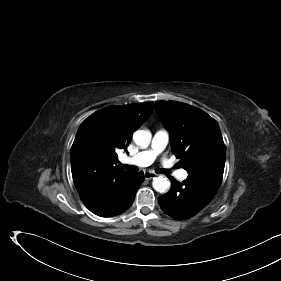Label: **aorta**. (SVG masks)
Here are the masks:
<instances>
[{
	"label": "aorta",
	"mask_w": 281,
	"mask_h": 281,
	"mask_svg": "<svg viewBox=\"0 0 281 281\" xmlns=\"http://www.w3.org/2000/svg\"><path fill=\"white\" fill-rule=\"evenodd\" d=\"M152 134L149 130H137L133 140L140 148H147L151 142ZM170 181L164 176L153 179L152 186L159 193H166L170 189Z\"/></svg>",
	"instance_id": "obj_1"
}]
</instances>
